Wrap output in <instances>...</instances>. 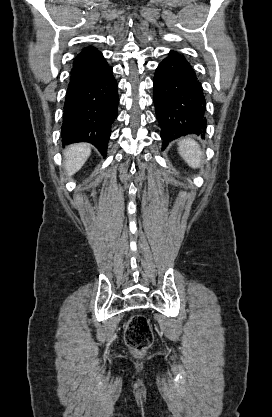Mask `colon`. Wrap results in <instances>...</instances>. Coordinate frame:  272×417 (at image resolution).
Wrapping results in <instances>:
<instances>
[{
  "label": "colon",
  "instance_id": "obj_1",
  "mask_svg": "<svg viewBox=\"0 0 272 417\" xmlns=\"http://www.w3.org/2000/svg\"><path fill=\"white\" fill-rule=\"evenodd\" d=\"M153 331L148 319L144 315L130 317L125 328V341L136 353L143 354L152 345Z\"/></svg>",
  "mask_w": 272,
  "mask_h": 417
}]
</instances>
